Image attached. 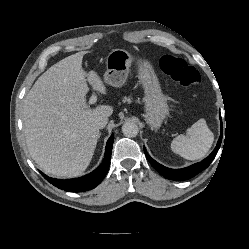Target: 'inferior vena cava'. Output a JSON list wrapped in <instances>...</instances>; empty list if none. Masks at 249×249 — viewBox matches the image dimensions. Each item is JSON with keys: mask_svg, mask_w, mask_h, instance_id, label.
<instances>
[{"mask_svg": "<svg viewBox=\"0 0 249 249\" xmlns=\"http://www.w3.org/2000/svg\"><path fill=\"white\" fill-rule=\"evenodd\" d=\"M107 123H108L107 117H100L96 120L95 125L97 128L102 129L106 126Z\"/></svg>", "mask_w": 249, "mask_h": 249, "instance_id": "1", "label": "inferior vena cava"}]
</instances>
